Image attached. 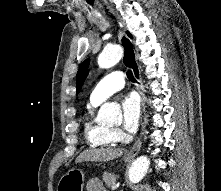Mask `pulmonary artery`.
I'll return each mask as SVG.
<instances>
[{
	"label": "pulmonary artery",
	"instance_id": "1",
	"mask_svg": "<svg viewBox=\"0 0 221 191\" xmlns=\"http://www.w3.org/2000/svg\"><path fill=\"white\" fill-rule=\"evenodd\" d=\"M124 79V74L119 70L109 73L96 84L90 95V101L100 104L111 94L124 87Z\"/></svg>",
	"mask_w": 221,
	"mask_h": 191
}]
</instances>
